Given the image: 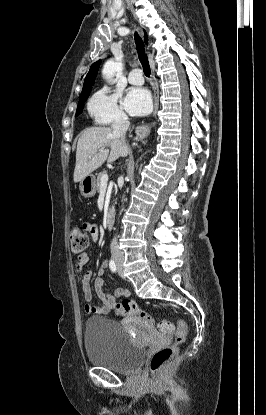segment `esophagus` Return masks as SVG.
Here are the masks:
<instances>
[{
	"instance_id": "obj_1",
	"label": "esophagus",
	"mask_w": 266,
	"mask_h": 415,
	"mask_svg": "<svg viewBox=\"0 0 266 415\" xmlns=\"http://www.w3.org/2000/svg\"><path fill=\"white\" fill-rule=\"evenodd\" d=\"M158 98H159V92H158V89H156L155 96H154V112H153V115H155L157 110H158ZM149 132H150V128L148 126H139L136 129L137 138L142 140L149 134Z\"/></svg>"
}]
</instances>
